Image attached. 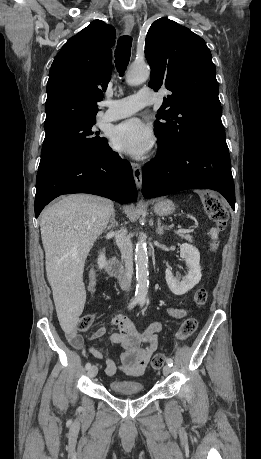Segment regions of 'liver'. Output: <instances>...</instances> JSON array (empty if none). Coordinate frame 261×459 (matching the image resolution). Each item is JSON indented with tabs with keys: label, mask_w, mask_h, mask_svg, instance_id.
Returning <instances> with one entry per match:
<instances>
[{
	"label": "liver",
	"mask_w": 261,
	"mask_h": 459,
	"mask_svg": "<svg viewBox=\"0 0 261 459\" xmlns=\"http://www.w3.org/2000/svg\"><path fill=\"white\" fill-rule=\"evenodd\" d=\"M114 211L111 200L71 194L46 208L40 218L45 267L58 320L65 332L78 324L85 300V260Z\"/></svg>",
	"instance_id": "1"
}]
</instances>
